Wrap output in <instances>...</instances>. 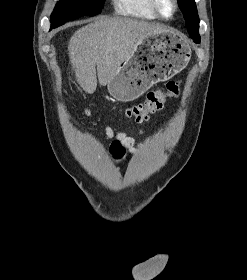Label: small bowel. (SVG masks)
Masks as SVG:
<instances>
[{
    "label": "small bowel",
    "instance_id": "obj_1",
    "mask_svg": "<svg viewBox=\"0 0 247 280\" xmlns=\"http://www.w3.org/2000/svg\"><path fill=\"white\" fill-rule=\"evenodd\" d=\"M116 137L122 144L127 146L132 153L136 152L134 145V139L126 133H116L110 126L106 127V139H112Z\"/></svg>",
    "mask_w": 247,
    "mask_h": 280
}]
</instances>
